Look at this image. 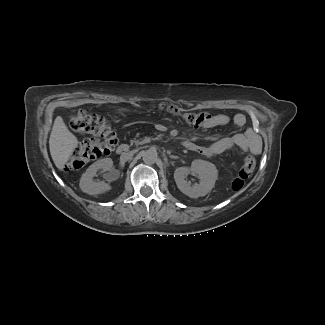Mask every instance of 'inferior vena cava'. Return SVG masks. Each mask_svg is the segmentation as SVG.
Instances as JSON below:
<instances>
[{"label":"inferior vena cava","mask_w":325,"mask_h":325,"mask_svg":"<svg viewBox=\"0 0 325 325\" xmlns=\"http://www.w3.org/2000/svg\"><path fill=\"white\" fill-rule=\"evenodd\" d=\"M131 157H132V154H130V153H126L125 155H122V156H121V160H123V161H127V160H129Z\"/></svg>","instance_id":"inferior-vena-cava-1"}]
</instances>
